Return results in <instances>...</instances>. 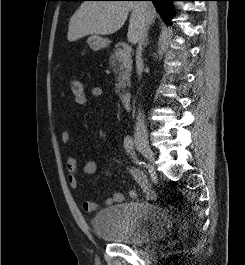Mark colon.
Returning <instances> with one entry per match:
<instances>
[{
	"label": "colon",
	"instance_id": "5ec220e1",
	"mask_svg": "<svg viewBox=\"0 0 245 265\" xmlns=\"http://www.w3.org/2000/svg\"><path fill=\"white\" fill-rule=\"evenodd\" d=\"M70 92L74 102L78 106H84L88 102V97L84 84L79 79H72L70 81Z\"/></svg>",
	"mask_w": 245,
	"mask_h": 265
}]
</instances>
